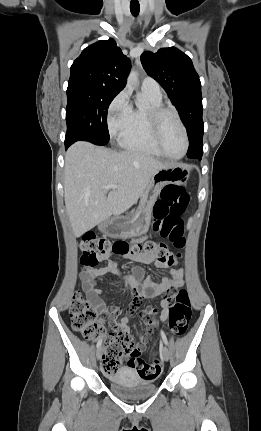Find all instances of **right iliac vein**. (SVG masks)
Wrapping results in <instances>:
<instances>
[{
  "instance_id": "obj_1",
  "label": "right iliac vein",
  "mask_w": 261,
  "mask_h": 431,
  "mask_svg": "<svg viewBox=\"0 0 261 431\" xmlns=\"http://www.w3.org/2000/svg\"><path fill=\"white\" fill-rule=\"evenodd\" d=\"M101 354H102V349H101V347H99V348L97 349V352H96V357H97V359H100Z\"/></svg>"
}]
</instances>
